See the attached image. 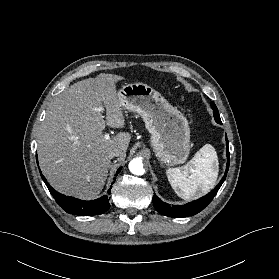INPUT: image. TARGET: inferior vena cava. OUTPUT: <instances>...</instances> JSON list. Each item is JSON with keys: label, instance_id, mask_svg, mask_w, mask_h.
Here are the masks:
<instances>
[{"label": "inferior vena cava", "instance_id": "1", "mask_svg": "<svg viewBox=\"0 0 279 279\" xmlns=\"http://www.w3.org/2000/svg\"><path fill=\"white\" fill-rule=\"evenodd\" d=\"M120 154H121V151L119 149H114V150L110 151L109 157L110 158L119 157Z\"/></svg>", "mask_w": 279, "mask_h": 279}]
</instances>
